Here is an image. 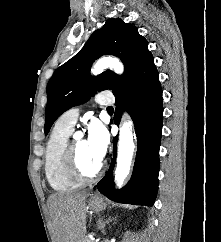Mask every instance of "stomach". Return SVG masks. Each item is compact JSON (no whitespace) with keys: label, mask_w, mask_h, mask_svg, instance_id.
<instances>
[{"label":"stomach","mask_w":221,"mask_h":242,"mask_svg":"<svg viewBox=\"0 0 221 242\" xmlns=\"http://www.w3.org/2000/svg\"><path fill=\"white\" fill-rule=\"evenodd\" d=\"M88 206L94 211H102L106 208V203L102 197H90L88 201Z\"/></svg>","instance_id":"1"}]
</instances>
